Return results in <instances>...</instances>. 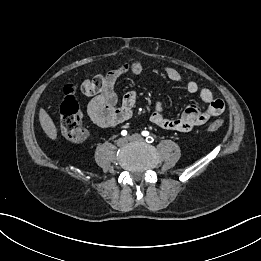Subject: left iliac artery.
<instances>
[{
	"label": "left iliac artery",
	"instance_id": "44dca946",
	"mask_svg": "<svg viewBox=\"0 0 261 261\" xmlns=\"http://www.w3.org/2000/svg\"><path fill=\"white\" fill-rule=\"evenodd\" d=\"M142 135L146 136V142L152 143L154 141L153 137L149 136V132L148 131H142Z\"/></svg>",
	"mask_w": 261,
	"mask_h": 261
}]
</instances>
